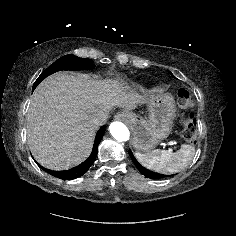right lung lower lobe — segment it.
<instances>
[{
	"label": "right lung lower lobe",
	"mask_w": 236,
	"mask_h": 236,
	"mask_svg": "<svg viewBox=\"0 0 236 236\" xmlns=\"http://www.w3.org/2000/svg\"><path fill=\"white\" fill-rule=\"evenodd\" d=\"M104 133H105V126H102L96 135L93 150H92V153L89 156V158L87 160H85L82 164H80L72 169H69L66 171H51V170H48V169L40 166L38 163L37 164L44 171H46L47 173H49L52 176H55L57 178H60L63 180L76 179V178L82 176L85 172H87L88 169L90 168V166L93 164V162L97 156L98 145H99L100 141L102 140Z\"/></svg>",
	"instance_id": "98d812e1"
}]
</instances>
